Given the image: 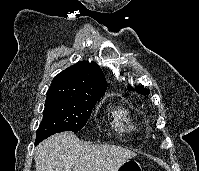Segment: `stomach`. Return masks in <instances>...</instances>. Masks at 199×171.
Wrapping results in <instances>:
<instances>
[{
  "label": "stomach",
  "instance_id": "0dacf381",
  "mask_svg": "<svg viewBox=\"0 0 199 171\" xmlns=\"http://www.w3.org/2000/svg\"><path fill=\"white\" fill-rule=\"evenodd\" d=\"M116 171H142V166L136 160H127L123 162Z\"/></svg>",
  "mask_w": 199,
  "mask_h": 171
}]
</instances>
